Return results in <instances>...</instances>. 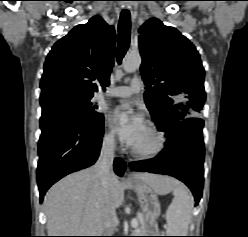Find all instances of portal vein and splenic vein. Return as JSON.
Here are the masks:
<instances>
[{"label": "portal vein and splenic vein", "mask_w": 248, "mask_h": 237, "mask_svg": "<svg viewBox=\"0 0 248 237\" xmlns=\"http://www.w3.org/2000/svg\"><path fill=\"white\" fill-rule=\"evenodd\" d=\"M131 226H132L133 228H136V227L138 226V221H137L136 218H133V219L131 220Z\"/></svg>", "instance_id": "1"}]
</instances>
